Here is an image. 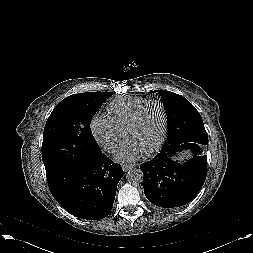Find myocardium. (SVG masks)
Instances as JSON below:
<instances>
[{
	"label": "myocardium",
	"mask_w": 253,
	"mask_h": 253,
	"mask_svg": "<svg viewBox=\"0 0 253 253\" xmlns=\"http://www.w3.org/2000/svg\"><path fill=\"white\" fill-rule=\"evenodd\" d=\"M152 104H157L162 111V116H163V121H162V128L160 135L157 139V141L148 149L146 150L147 153H152L156 151L163 143L166 132H167V126H168V115H167V109L165 104L160 101V100H148L145 103H143L133 114L131 117L130 121L128 122L126 128H125V135L127 134L128 131H130L138 122L140 116L142 115L143 111Z\"/></svg>",
	"instance_id": "myocardium-1"
}]
</instances>
